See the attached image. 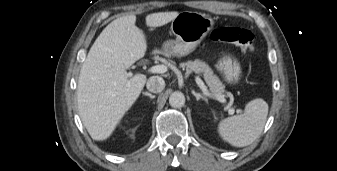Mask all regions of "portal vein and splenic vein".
I'll return each instance as SVG.
<instances>
[{
  "label": "portal vein and splenic vein",
  "instance_id": "portal-vein-and-splenic-vein-1",
  "mask_svg": "<svg viewBox=\"0 0 337 171\" xmlns=\"http://www.w3.org/2000/svg\"><path fill=\"white\" fill-rule=\"evenodd\" d=\"M150 73H165L167 71V66L165 65H155L149 68L148 70ZM196 83L198 84V86L200 87V89L203 91V93L211 98H214L215 100L221 102V103H225L226 99L224 98V95H212L209 90L207 89V86L204 84V82L201 80V78L196 77L195 78ZM229 96H232L231 93L228 94ZM237 113H241L242 110L241 109H237L236 110ZM228 113L230 115H233L235 113V109L234 108H229L228 109Z\"/></svg>",
  "mask_w": 337,
  "mask_h": 171
}]
</instances>
